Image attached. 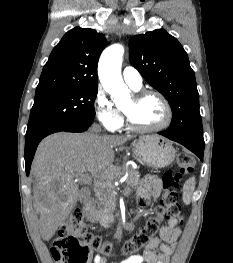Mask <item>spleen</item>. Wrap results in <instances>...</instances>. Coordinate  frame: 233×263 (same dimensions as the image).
<instances>
[{
    "label": "spleen",
    "mask_w": 233,
    "mask_h": 263,
    "mask_svg": "<svg viewBox=\"0 0 233 263\" xmlns=\"http://www.w3.org/2000/svg\"><path fill=\"white\" fill-rule=\"evenodd\" d=\"M196 185L195 177L189 178L183 186V202L188 205L191 202L192 194Z\"/></svg>",
    "instance_id": "3e777b00"
}]
</instances>
